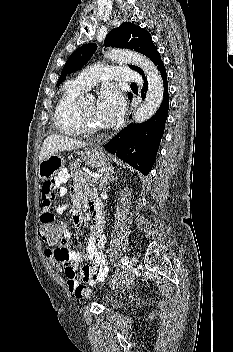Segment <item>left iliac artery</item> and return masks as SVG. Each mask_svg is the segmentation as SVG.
Segmentation results:
<instances>
[{"label": "left iliac artery", "mask_w": 233, "mask_h": 352, "mask_svg": "<svg viewBox=\"0 0 233 352\" xmlns=\"http://www.w3.org/2000/svg\"><path fill=\"white\" fill-rule=\"evenodd\" d=\"M122 265H128L129 264V258L125 255L121 259Z\"/></svg>", "instance_id": "44dca946"}]
</instances>
